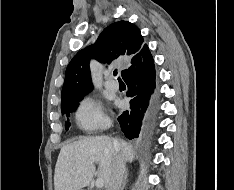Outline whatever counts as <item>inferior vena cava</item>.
<instances>
[{"label":"inferior vena cava","mask_w":234,"mask_h":190,"mask_svg":"<svg viewBox=\"0 0 234 190\" xmlns=\"http://www.w3.org/2000/svg\"><path fill=\"white\" fill-rule=\"evenodd\" d=\"M114 147L116 149L115 162L112 168L109 181L106 186V190H120L125 173L124 156L116 142H114Z\"/></svg>","instance_id":"inferior-vena-cava-1"}]
</instances>
